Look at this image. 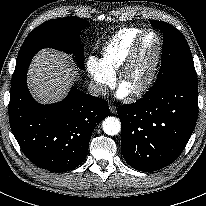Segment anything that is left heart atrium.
I'll return each instance as SVG.
<instances>
[{"label": "left heart atrium", "mask_w": 206, "mask_h": 206, "mask_svg": "<svg viewBox=\"0 0 206 206\" xmlns=\"http://www.w3.org/2000/svg\"><path fill=\"white\" fill-rule=\"evenodd\" d=\"M129 93L130 91L127 88H125L124 86H120L117 95L118 97L123 98L126 97Z\"/></svg>", "instance_id": "39dd6f15"}]
</instances>
